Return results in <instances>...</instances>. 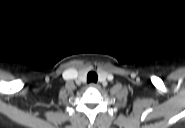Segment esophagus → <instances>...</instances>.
Returning a JSON list of instances; mask_svg holds the SVG:
<instances>
[{"label":"esophagus","mask_w":185,"mask_h":128,"mask_svg":"<svg viewBox=\"0 0 185 128\" xmlns=\"http://www.w3.org/2000/svg\"><path fill=\"white\" fill-rule=\"evenodd\" d=\"M89 86L90 88H99V84L96 83H90Z\"/></svg>","instance_id":"1"}]
</instances>
